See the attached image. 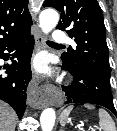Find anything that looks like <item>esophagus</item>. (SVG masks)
I'll return each mask as SVG.
<instances>
[{"label":"esophagus","mask_w":117,"mask_h":131,"mask_svg":"<svg viewBox=\"0 0 117 131\" xmlns=\"http://www.w3.org/2000/svg\"><path fill=\"white\" fill-rule=\"evenodd\" d=\"M44 46V37L42 33L36 36L35 51L42 49ZM41 77L33 75L32 87L29 94L30 105L35 108H43L50 103L53 97L58 94V89L50 84L39 85Z\"/></svg>","instance_id":"34e87169"}]
</instances>
